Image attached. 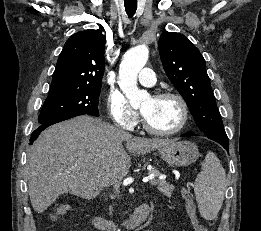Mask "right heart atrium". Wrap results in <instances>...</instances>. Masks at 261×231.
Here are the masks:
<instances>
[{
  "label": "right heart atrium",
  "mask_w": 261,
  "mask_h": 231,
  "mask_svg": "<svg viewBox=\"0 0 261 231\" xmlns=\"http://www.w3.org/2000/svg\"><path fill=\"white\" fill-rule=\"evenodd\" d=\"M107 108L112 122L119 128L133 130L139 122V114L131 108L125 97L115 91L109 93Z\"/></svg>",
  "instance_id": "obj_1"
}]
</instances>
